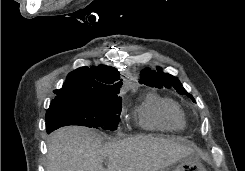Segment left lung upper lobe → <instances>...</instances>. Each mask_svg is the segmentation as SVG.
<instances>
[{"label": "left lung upper lobe", "instance_id": "left-lung-upper-lobe-1", "mask_svg": "<svg viewBox=\"0 0 245 171\" xmlns=\"http://www.w3.org/2000/svg\"><path fill=\"white\" fill-rule=\"evenodd\" d=\"M141 84H145L150 87L155 88H174L178 91L179 94H187L186 90L182 87V84L178 80V78L165 74L162 72L161 68L157 67V72L152 71L147 68L141 72V79H139ZM193 102H195L192 95L187 94Z\"/></svg>", "mask_w": 245, "mask_h": 171}]
</instances>
